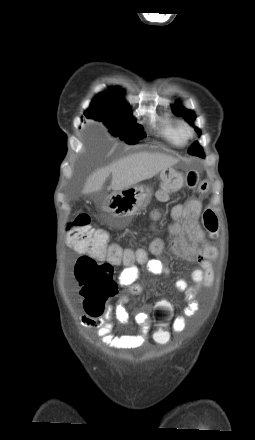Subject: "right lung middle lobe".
<instances>
[{
    "label": "right lung middle lobe",
    "instance_id": "dd1d6c3e",
    "mask_svg": "<svg viewBox=\"0 0 255 440\" xmlns=\"http://www.w3.org/2000/svg\"><path fill=\"white\" fill-rule=\"evenodd\" d=\"M85 116L103 122L113 136H118L128 144H136L146 137L142 126L132 116L129 105L111 107L92 102Z\"/></svg>",
    "mask_w": 255,
    "mask_h": 440
}]
</instances>
